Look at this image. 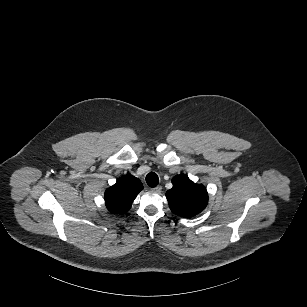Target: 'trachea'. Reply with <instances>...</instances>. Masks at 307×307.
<instances>
[{"instance_id":"obj_1","label":"trachea","mask_w":307,"mask_h":307,"mask_svg":"<svg viewBox=\"0 0 307 307\" xmlns=\"http://www.w3.org/2000/svg\"><path fill=\"white\" fill-rule=\"evenodd\" d=\"M146 183L150 187H156L159 183V178L157 174H155L154 172H150L149 174H147Z\"/></svg>"}]
</instances>
